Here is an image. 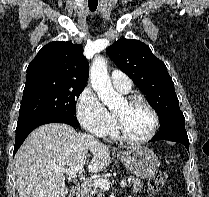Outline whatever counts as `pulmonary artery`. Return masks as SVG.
Here are the masks:
<instances>
[{
    "label": "pulmonary artery",
    "instance_id": "obj_1",
    "mask_svg": "<svg viewBox=\"0 0 209 197\" xmlns=\"http://www.w3.org/2000/svg\"><path fill=\"white\" fill-rule=\"evenodd\" d=\"M111 80L114 87L120 92L127 93L132 87V82L128 75L119 70H113L111 72Z\"/></svg>",
    "mask_w": 209,
    "mask_h": 197
}]
</instances>
